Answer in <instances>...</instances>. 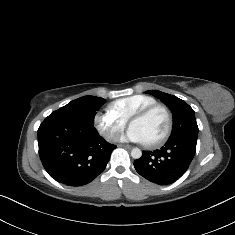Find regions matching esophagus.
Masks as SVG:
<instances>
[{"mask_svg": "<svg viewBox=\"0 0 235 235\" xmlns=\"http://www.w3.org/2000/svg\"><path fill=\"white\" fill-rule=\"evenodd\" d=\"M118 146L122 147V148H126V149H131L132 148V146L129 145V144H119Z\"/></svg>", "mask_w": 235, "mask_h": 235, "instance_id": "obj_1", "label": "esophagus"}]
</instances>
